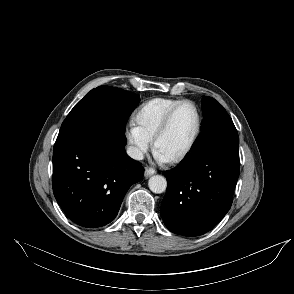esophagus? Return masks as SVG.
I'll return each instance as SVG.
<instances>
[{
	"label": "esophagus",
	"mask_w": 294,
	"mask_h": 294,
	"mask_svg": "<svg viewBox=\"0 0 294 294\" xmlns=\"http://www.w3.org/2000/svg\"><path fill=\"white\" fill-rule=\"evenodd\" d=\"M156 173V170L153 169L152 167H149V166H146L145 167V172H144V175L146 178L154 175Z\"/></svg>",
	"instance_id": "1"
}]
</instances>
